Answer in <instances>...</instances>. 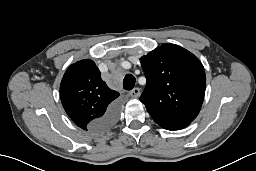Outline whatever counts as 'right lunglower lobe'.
<instances>
[{
    "instance_id": "obj_1",
    "label": "right lung lower lobe",
    "mask_w": 256,
    "mask_h": 171,
    "mask_svg": "<svg viewBox=\"0 0 256 171\" xmlns=\"http://www.w3.org/2000/svg\"><path fill=\"white\" fill-rule=\"evenodd\" d=\"M119 114V106L117 103L113 104L107 109L105 114L99 119L98 127L101 130L108 129L116 122Z\"/></svg>"
}]
</instances>
